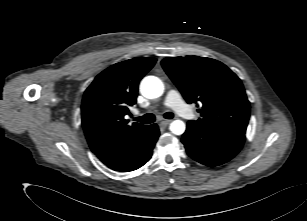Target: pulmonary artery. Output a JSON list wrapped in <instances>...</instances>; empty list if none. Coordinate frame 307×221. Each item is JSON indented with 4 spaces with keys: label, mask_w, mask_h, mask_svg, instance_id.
Listing matches in <instances>:
<instances>
[{
    "label": "pulmonary artery",
    "mask_w": 307,
    "mask_h": 221,
    "mask_svg": "<svg viewBox=\"0 0 307 221\" xmlns=\"http://www.w3.org/2000/svg\"><path fill=\"white\" fill-rule=\"evenodd\" d=\"M164 106L173 109L180 116H184L188 111L187 106L182 101L180 93L174 89L167 92Z\"/></svg>",
    "instance_id": "pulmonary-artery-1"
}]
</instances>
